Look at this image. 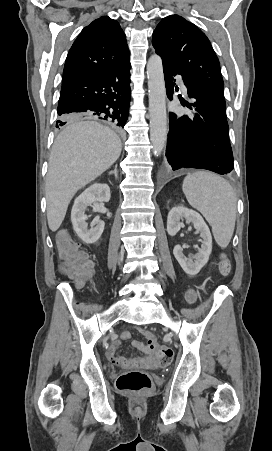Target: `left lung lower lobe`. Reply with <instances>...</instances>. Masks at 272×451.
Here are the masks:
<instances>
[{
	"instance_id": "0a47b994",
	"label": "left lung lower lobe",
	"mask_w": 272,
	"mask_h": 451,
	"mask_svg": "<svg viewBox=\"0 0 272 451\" xmlns=\"http://www.w3.org/2000/svg\"><path fill=\"white\" fill-rule=\"evenodd\" d=\"M168 98L172 99L175 76L181 75L194 101L193 117L169 113L167 161L173 170L207 169L218 174L233 170V154L229 141L226 106H223L193 82L187 80L173 65L163 61Z\"/></svg>"
}]
</instances>
